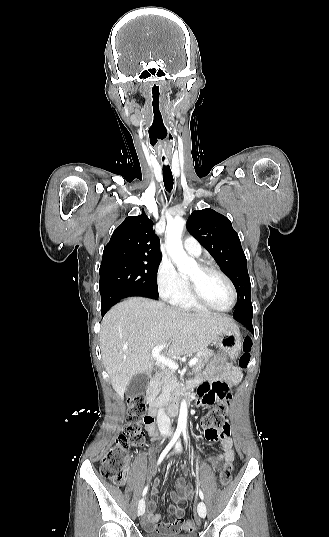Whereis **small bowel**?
Listing matches in <instances>:
<instances>
[{"label": "small bowel", "mask_w": 329, "mask_h": 537, "mask_svg": "<svg viewBox=\"0 0 329 537\" xmlns=\"http://www.w3.org/2000/svg\"><path fill=\"white\" fill-rule=\"evenodd\" d=\"M224 373L226 380L216 381ZM242 378L241 370L224 361L222 357L214 359L205 373V378L196 385L195 395L198 396L197 402L205 406H212L220 399L226 398L232 394L229 384H237ZM201 408V405H198ZM149 434H156L155 426L152 423L146 425ZM205 439L209 442H221L222 453L209 458V462L218 466L221 463L231 465L234 460L233 439L230 436V425L226 423L224 429H218L215 433L205 431ZM161 482L156 480L151 490V500L147 504L146 515L143 518V526L148 532L157 533H176L184 528L183 516L186 505L194 494L192 485L184 477H179L175 481L176 492L170 493L172 504L169 510L176 517L174 521L160 523L162 515L155 512L157 506V496Z\"/></svg>", "instance_id": "c3829d8e"}]
</instances>
